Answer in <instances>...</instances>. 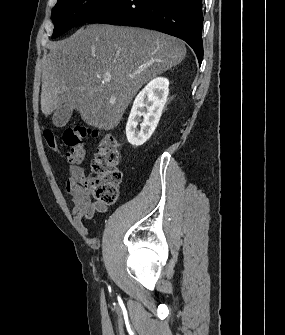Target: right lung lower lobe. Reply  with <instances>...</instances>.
<instances>
[{"label":"right lung lower lobe","instance_id":"98d812e1","mask_svg":"<svg viewBox=\"0 0 285 335\" xmlns=\"http://www.w3.org/2000/svg\"><path fill=\"white\" fill-rule=\"evenodd\" d=\"M87 23L146 27L187 42L203 59L202 0H119Z\"/></svg>","mask_w":285,"mask_h":335}]
</instances>
